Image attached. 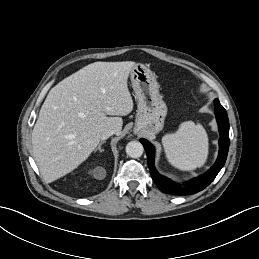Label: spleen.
<instances>
[{
  "mask_svg": "<svg viewBox=\"0 0 259 259\" xmlns=\"http://www.w3.org/2000/svg\"><path fill=\"white\" fill-rule=\"evenodd\" d=\"M162 144L168 161L180 170H194L208 157V136L201 124L186 121L174 133L166 134Z\"/></svg>",
  "mask_w": 259,
  "mask_h": 259,
  "instance_id": "3e777b00",
  "label": "spleen"
}]
</instances>
